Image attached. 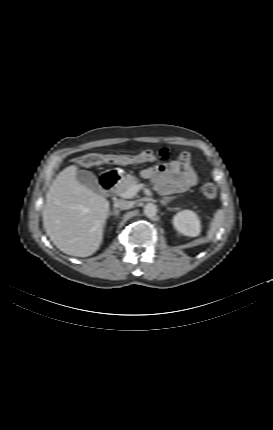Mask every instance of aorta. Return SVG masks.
<instances>
[{
	"label": "aorta",
	"instance_id": "aorta-1",
	"mask_svg": "<svg viewBox=\"0 0 273 430\" xmlns=\"http://www.w3.org/2000/svg\"><path fill=\"white\" fill-rule=\"evenodd\" d=\"M144 214L148 218H153L157 214V207H156V205L153 204V203H147L144 206Z\"/></svg>",
	"mask_w": 273,
	"mask_h": 430
}]
</instances>
